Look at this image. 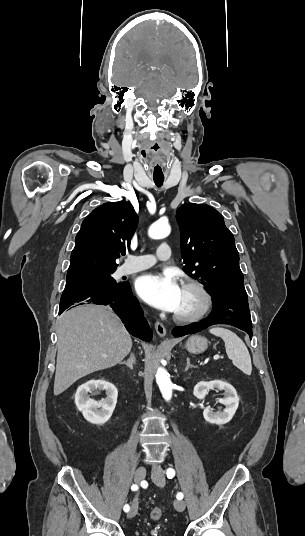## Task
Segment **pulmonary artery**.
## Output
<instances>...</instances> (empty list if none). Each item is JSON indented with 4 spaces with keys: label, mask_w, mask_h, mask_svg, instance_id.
<instances>
[{
    "label": "pulmonary artery",
    "mask_w": 305,
    "mask_h": 536,
    "mask_svg": "<svg viewBox=\"0 0 305 536\" xmlns=\"http://www.w3.org/2000/svg\"><path fill=\"white\" fill-rule=\"evenodd\" d=\"M170 244L166 240L159 242L156 254L144 255L142 253H133L129 257V262L121 268L122 275H129L139 271L146 270L153 266L157 261H165L170 258ZM146 260V261H145Z\"/></svg>",
    "instance_id": "obj_1"
}]
</instances>
